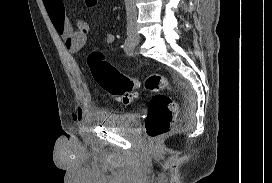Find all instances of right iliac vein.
Masks as SVG:
<instances>
[{
	"label": "right iliac vein",
	"instance_id": "obj_1",
	"mask_svg": "<svg viewBox=\"0 0 272 183\" xmlns=\"http://www.w3.org/2000/svg\"><path fill=\"white\" fill-rule=\"evenodd\" d=\"M129 38L131 39L132 42L136 40V36L133 35L132 33L129 34Z\"/></svg>",
	"mask_w": 272,
	"mask_h": 183
}]
</instances>
